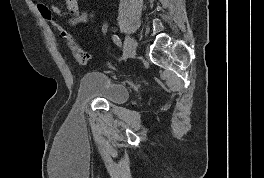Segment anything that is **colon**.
Wrapping results in <instances>:
<instances>
[{"label":"colon","instance_id":"5ec220e1","mask_svg":"<svg viewBox=\"0 0 264 178\" xmlns=\"http://www.w3.org/2000/svg\"><path fill=\"white\" fill-rule=\"evenodd\" d=\"M37 9L40 15L46 20L49 25L54 28L60 36L66 40L69 50L73 57L80 65H86L91 60V54L81 49L73 40L71 34L56 20L52 11L42 2L37 3Z\"/></svg>","mask_w":264,"mask_h":178}]
</instances>
